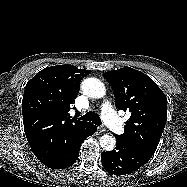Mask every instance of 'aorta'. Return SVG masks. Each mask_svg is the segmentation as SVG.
Listing matches in <instances>:
<instances>
[{
  "mask_svg": "<svg viewBox=\"0 0 187 187\" xmlns=\"http://www.w3.org/2000/svg\"><path fill=\"white\" fill-rule=\"evenodd\" d=\"M81 88L84 94L92 98H102L106 94L105 85L96 78H88L84 80ZM99 142L100 146L107 151L112 150L116 145L115 137L109 134L103 135Z\"/></svg>",
  "mask_w": 187,
  "mask_h": 187,
  "instance_id": "1",
  "label": "aorta"
}]
</instances>
